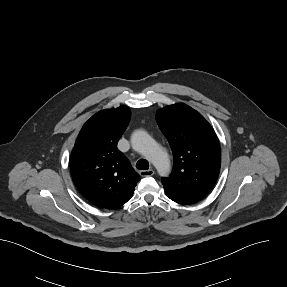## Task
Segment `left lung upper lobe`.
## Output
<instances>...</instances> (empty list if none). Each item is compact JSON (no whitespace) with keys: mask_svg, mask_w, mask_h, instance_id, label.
Masks as SVG:
<instances>
[{"mask_svg":"<svg viewBox=\"0 0 287 287\" xmlns=\"http://www.w3.org/2000/svg\"><path fill=\"white\" fill-rule=\"evenodd\" d=\"M156 120L174 157L172 173L162 178L166 195L180 204L201 200L220 171L221 153L215 132L200 113L183 103L160 109Z\"/></svg>","mask_w":287,"mask_h":287,"instance_id":"1","label":"left lung upper lobe"}]
</instances>
